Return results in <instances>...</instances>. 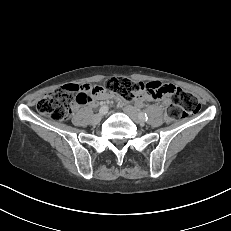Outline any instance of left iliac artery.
I'll return each mask as SVG.
<instances>
[{
  "mask_svg": "<svg viewBox=\"0 0 231 231\" xmlns=\"http://www.w3.org/2000/svg\"><path fill=\"white\" fill-rule=\"evenodd\" d=\"M140 118H142L143 120L147 121L148 120V115L146 113H140Z\"/></svg>",
  "mask_w": 231,
  "mask_h": 231,
  "instance_id": "obj_1",
  "label": "left iliac artery"
}]
</instances>
